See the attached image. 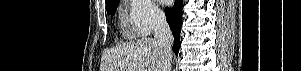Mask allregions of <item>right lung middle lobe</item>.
Segmentation results:
<instances>
[{
    "label": "right lung middle lobe",
    "mask_w": 301,
    "mask_h": 71,
    "mask_svg": "<svg viewBox=\"0 0 301 71\" xmlns=\"http://www.w3.org/2000/svg\"><path fill=\"white\" fill-rule=\"evenodd\" d=\"M119 0H113L109 3H106L107 13L110 15H114L117 9Z\"/></svg>",
    "instance_id": "dd1d6c3e"
}]
</instances>
